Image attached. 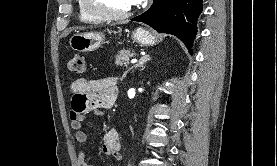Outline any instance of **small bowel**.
Listing matches in <instances>:
<instances>
[{
  "label": "small bowel",
  "mask_w": 277,
  "mask_h": 166,
  "mask_svg": "<svg viewBox=\"0 0 277 166\" xmlns=\"http://www.w3.org/2000/svg\"><path fill=\"white\" fill-rule=\"evenodd\" d=\"M71 110L70 125L75 130V139L80 146L87 141V134L82 130L83 122L91 114L100 115L104 109L111 108L117 98V86L114 78L88 80L76 79L70 87ZM121 144L119 133L114 128H109L103 136L102 153L115 161L121 160ZM79 166H93L88 163L86 154L81 150L78 154Z\"/></svg>",
  "instance_id": "c3829d8e"
}]
</instances>
